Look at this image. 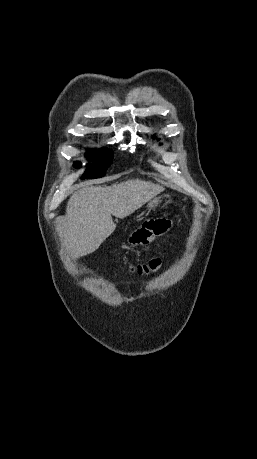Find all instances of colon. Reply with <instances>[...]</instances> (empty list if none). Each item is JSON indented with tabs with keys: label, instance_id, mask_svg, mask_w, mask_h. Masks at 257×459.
Instances as JSON below:
<instances>
[{
	"label": "colon",
	"instance_id": "1",
	"mask_svg": "<svg viewBox=\"0 0 257 459\" xmlns=\"http://www.w3.org/2000/svg\"><path fill=\"white\" fill-rule=\"evenodd\" d=\"M134 232L132 235H134ZM161 264H162V260L160 258H155V259L150 260L149 262L133 266L132 270L138 275H147V274L157 271L161 267Z\"/></svg>",
	"mask_w": 257,
	"mask_h": 459
}]
</instances>
